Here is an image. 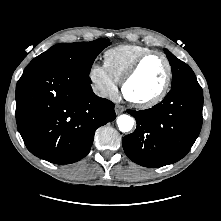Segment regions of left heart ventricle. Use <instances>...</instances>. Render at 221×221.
<instances>
[{
	"label": "left heart ventricle",
	"mask_w": 221,
	"mask_h": 221,
	"mask_svg": "<svg viewBox=\"0 0 221 221\" xmlns=\"http://www.w3.org/2000/svg\"><path fill=\"white\" fill-rule=\"evenodd\" d=\"M165 78L166 65L164 60L158 55L150 56L128 83L126 92L129 97L136 100L151 98L161 90Z\"/></svg>",
	"instance_id": "obj_1"
}]
</instances>
